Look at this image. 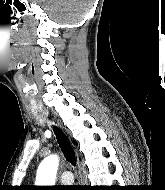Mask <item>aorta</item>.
<instances>
[{
    "label": "aorta",
    "instance_id": "762f6f07",
    "mask_svg": "<svg viewBox=\"0 0 165 190\" xmlns=\"http://www.w3.org/2000/svg\"><path fill=\"white\" fill-rule=\"evenodd\" d=\"M59 165V158L57 155H50L45 158L38 169L37 183L42 185H53Z\"/></svg>",
    "mask_w": 165,
    "mask_h": 190
}]
</instances>
